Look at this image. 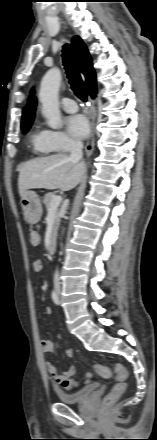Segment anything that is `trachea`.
<instances>
[{
  "label": "trachea",
  "instance_id": "trachea-1",
  "mask_svg": "<svg viewBox=\"0 0 157 440\" xmlns=\"http://www.w3.org/2000/svg\"><path fill=\"white\" fill-rule=\"evenodd\" d=\"M63 64L67 78L75 95L82 101L87 100V90L80 76L79 68L69 44H65L62 50Z\"/></svg>",
  "mask_w": 157,
  "mask_h": 440
}]
</instances>
